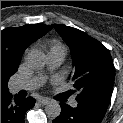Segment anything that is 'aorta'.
Wrapping results in <instances>:
<instances>
[{"label": "aorta", "instance_id": "762f6f07", "mask_svg": "<svg viewBox=\"0 0 123 123\" xmlns=\"http://www.w3.org/2000/svg\"><path fill=\"white\" fill-rule=\"evenodd\" d=\"M27 65L33 69H41L47 63L45 53L39 50H31L25 58ZM46 114L51 118H57L61 113V107L58 102H50L46 106Z\"/></svg>", "mask_w": 123, "mask_h": 123}]
</instances>
